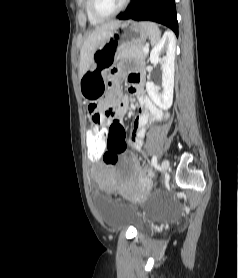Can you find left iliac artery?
I'll return each instance as SVG.
<instances>
[{
    "label": "left iliac artery",
    "mask_w": 238,
    "mask_h": 278,
    "mask_svg": "<svg viewBox=\"0 0 238 278\" xmlns=\"http://www.w3.org/2000/svg\"><path fill=\"white\" fill-rule=\"evenodd\" d=\"M157 165V156L153 155L152 160H151V166H156Z\"/></svg>",
    "instance_id": "obj_1"
}]
</instances>
